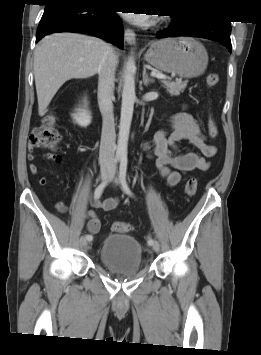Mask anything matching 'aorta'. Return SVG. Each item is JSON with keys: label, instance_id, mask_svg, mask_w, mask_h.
I'll return each mask as SVG.
<instances>
[{"label": "aorta", "instance_id": "1", "mask_svg": "<svg viewBox=\"0 0 261 355\" xmlns=\"http://www.w3.org/2000/svg\"><path fill=\"white\" fill-rule=\"evenodd\" d=\"M135 71L136 66L134 57L130 56L124 71L121 116L116 149V156L120 158L127 156L128 139L133 116L134 103L136 99L134 77Z\"/></svg>", "mask_w": 261, "mask_h": 355}]
</instances>
